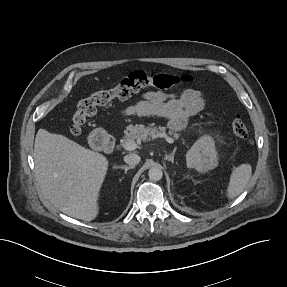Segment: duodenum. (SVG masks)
<instances>
[{
	"mask_svg": "<svg viewBox=\"0 0 287 287\" xmlns=\"http://www.w3.org/2000/svg\"><path fill=\"white\" fill-rule=\"evenodd\" d=\"M90 143L93 147L106 151H113L116 147V140L114 137L100 130L91 134Z\"/></svg>",
	"mask_w": 287,
	"mask_h": 287,
	"instance_id": "duodenum-1",
	"label": "duodenum"
}]
</instances>
